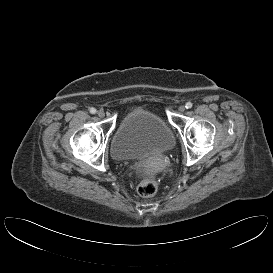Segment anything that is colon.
I'll return each instance as SVG.
<instances>
[{
  "mask_svg": "<svg viewBox=\"0 0 273 273\" xmlns=\"http://www.w3.org/2000/svg\"><path fill=\"white\" fill-rule=\"evenodd\" d=\"M158 189L157 180L151 175L142 176L140 183L138 185V193L142 197H151L153 196Z\"/></svg>",
  "mask_w": 273,
  "mask_h": 273,
  "instance_id": "obj_1",
  "label": "colon"
}]
</instances>
